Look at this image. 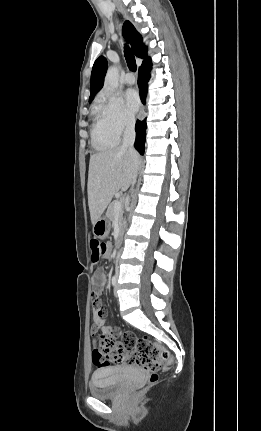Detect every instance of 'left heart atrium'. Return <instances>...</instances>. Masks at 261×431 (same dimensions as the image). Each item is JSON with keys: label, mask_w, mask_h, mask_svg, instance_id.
Returning a JSON list of instances; mask_svg holds the SVG:
<instances>
[{"label": "left heart atrium", "mask_w": 261, "mask_h": 431, "mask_svg": "<svg viewBox=\"0 0 261 431\" xmlns=\"http://www.w3.org/2000/svg\"><path fill=\"white\" fill-rule=\"evenodd\" d=\"M124 103L128 111L131 113H135L139 109V98L135 90L128 89L124 93Z\"/></svg>", "instance_id": "1"}]
</instances>
